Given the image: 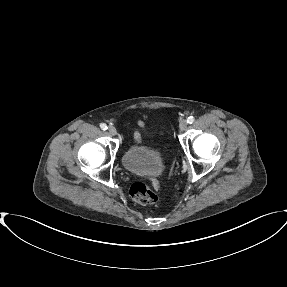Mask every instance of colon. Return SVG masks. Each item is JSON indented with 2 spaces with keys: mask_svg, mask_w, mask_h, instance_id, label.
Masks as SVG:
<instances>
[{
  "mask_svg": "<svg viewBox=\"0 0 287 287\" xmlns=\"http://www.w3.org/2000/svg\"><path fill=\"white\" fill-rule=\"evenodd\" d=\"M161 187L162 184L159 180L149 179V183L139 181L132 184L129 193L135 202L141 205H150L158 201L157 192Z\"/></svg>",
  "mask_w": 287,
  "mask_h": 287,
  "instance_id": "obj_1",
  "label": "colon"
}]
</instances>
